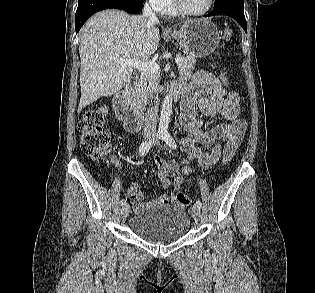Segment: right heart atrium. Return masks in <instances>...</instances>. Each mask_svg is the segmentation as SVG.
<instances>
[{"instance_id":"right-heart-atrium-1","label":"right heart atrium","mask_w":315,"mask_h":293,"mask_svg":"<svg viewBox=\"0 0 315 293\" xmlns=\"http://www.w3.org/2000/svg\"><path fill=\"white\" fill-rule=\"evenodd\" d=\"M148 4L155 11L161 12L165 8L168 0H147Z\"/></svg>"}]
</instances>
